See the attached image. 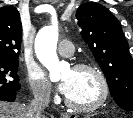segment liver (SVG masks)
Returning <instances> with one entry per match:
<instances>
[{"mask_svg":"<svg viewBox=\"0 0 133 118\" xmlns=\"http://www.w3.org/2000/svg\"><path fill=\"white\" fill-rule=\"evenodd\" d=\"M27 111L24 104L0 101V118H27Z\"/></svg>","mask_w":133,"mask_h":118,"instance_id":"6515ba94","label":"liver"}]
</instances>
